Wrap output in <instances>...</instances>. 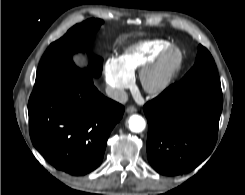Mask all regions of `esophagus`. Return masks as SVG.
I'll return each mask as SVG.
<instances>
[{
    "label": "esophagus",
    "instance_id": "1",
    "mask_svg": "<svg viewBox=\"0 0 245 195\" xmlns=\"http://www.w3.org/2000/svg\"><path fill=\"white\" fill-rule=\"evenodd\" d=\"M137 111V108L134 106H129L126 108L127 113H135Z\"/></svg>",
    "mask_w": 245,
    "mask_h": 195
}]
</instances>
